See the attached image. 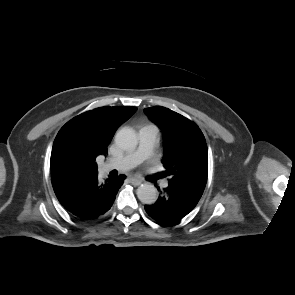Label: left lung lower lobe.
<instances>
[{"mask_svg": "<svg viewBox=\"0 0 295 295\" xmlns=\"http://www.w3.org/2000/svg\"><path fill=\"white\" fill-rule=\"evenodd\" d=\"M202 194L201 189L183 188L169 183L154 204L145 205V210L154 220L163 224H172L190 213Z\"/></svg>", "mask_w": 295, "mask_h": 295, "instance_id": "0a47b994", "label": "left lung lower lobe"}]
</instances>
